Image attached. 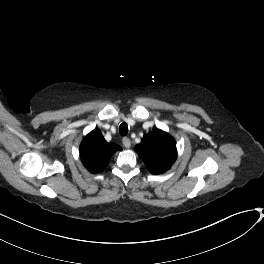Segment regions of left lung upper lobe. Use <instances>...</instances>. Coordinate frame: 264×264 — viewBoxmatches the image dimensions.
I'll return each instance as SVG.
<instances>
[{
    "label": "left lung upper lobe",
    "instance_id": "left-lung-upper-lobe-1",
    "mask_svg": "<svg viewBox=\"0 0 264 264\" xmlns=\"http://www.w3.org/2000/svg\"><path fill=\"white\" fill-rule=\"evenodd\" d=\"M135 151L152 174L166 172L177 158L176 142L168 133L156 129L146 134Z\"/></svg>",
    "mask_w": 264,
    "mask_h": 264
}]
</instances>
